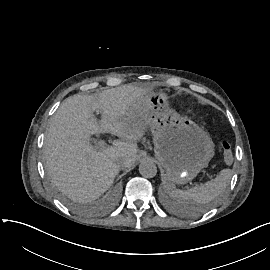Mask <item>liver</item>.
<instances>
[{"instance_id": "1", "label": "liver", "mask_w": 270, "mask_h": 270, "mask_svg": "<svg viewBox=\"0 0 270 270\" xmlns=\"http://www.w3.org/2000/svg\"><path fill=\"white\" fill-rule=\"evenodd\" d=\"M145 89L133 84L102 91L97 97L76 94L65 99L53 117L44 142L51 182L74 201L90 202L106 192L122 166L136 160V141L144 135L150 112ZM102 112L101 124L93 114ZM103 122L112 124L104 129ZM107 132L126 141L96 151L91 135Z\"/></svg>"}]
</instances>
